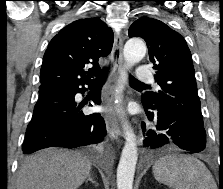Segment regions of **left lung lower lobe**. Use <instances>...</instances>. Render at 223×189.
<instances>
[{
  "label": "left lung lower lobe",
  "instance_id": "0a47b994",
  "mask_svg": "<svg viewBox=\"0 0 223 189\" xmlns=\"http://www.w3.org/2000/svg\"><path fill=\"white\" fill-rule=\"evenodd\" d=\"M151 128L142 124L143 144L155 149L166 144H175L192 153H199L206 147V132L203 126L170 118L164 111L142 101Z\"/></svg>",
  "mask_w": 223,
  "mask_h": 189
}]
</instances>
